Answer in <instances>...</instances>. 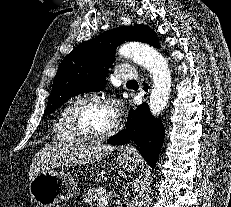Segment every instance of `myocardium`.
<instances>
[{"instance_id": "obj_1", "label": "myocardium", "mask_w": 231, "mask_h": 207, "mask_svg": "<svg viewBox=\"0 0 231 207\" xmlns=\"http://www.w3.org/2000/svg\"><path fill=\"white\" fill-rule=\"evenodd\" d=\"M91 102L105 104L112 108L110 101L105 96H102V95L91 94V95H86V96H83L77 99L70 106L68 113H67V122H68L70 131L79 140L86 141V142H99V141H103V140H106L114 136L120 130V127H121V122H120L118 115H115V121L113 125L107 131L103 133L91 134L81 127V125L79 124L77 120V113L83 105L87 103H91Z\"/></svg>"}]
</instances>
